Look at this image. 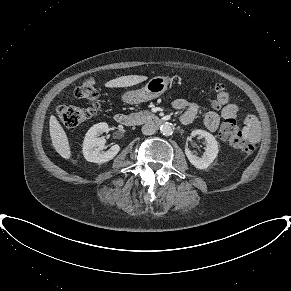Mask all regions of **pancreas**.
<instances>
[{"mask_svg": "<svg viewBox=\"0 0 291 291\" xmlns=\"http://www.w3.org/2000/svg\"><path fill=\"white\" fill-rule=\"evenodd\" d=\"M131 117L134 125H141L149 120H152L154 118V115L151 112L144 110L133 113Z\"/></svg>", "mask_w": 291, "mask_h": 291, "instance_id": "obj_1", "label": "pancreas"}]
</instances>
